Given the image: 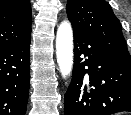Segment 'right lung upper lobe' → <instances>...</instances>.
<instances>
[{"label": "right lung upper lobe", "instance_id": "right-lung-upper-lobe-1", "mask_svg": "<svg viewBox=\"0 0 131 115\" xmlns=\"http://www.w3.org/2000/svg\"><path fill=\"white\" fill-rule=\"evenodd\" d=\"M31 37L29 0H0V49L17 45Z\"/></svg>", "mask_w": 131, "mask_h": 115}]
</instances>
